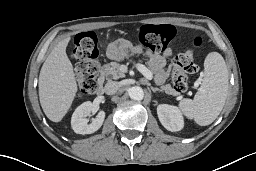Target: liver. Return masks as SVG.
Masks as SVG:
<instances>
[{
	"mask_svg": "<svg viewBox=\"0 0 256 171\" xmlns=\"http://www.w3.org/2000/svg\"><path fill=\"white\" fill-rule=\"evenodd\" d=\"M68 39L60 41L48 55L39 75L41 107L53 122H60L68 112L78 87L67 54Z\"/></svg>",
	"mask_w": 256,
	"mask_h": 171,
	"instance_id": "6515ba94",
	"label": "liver"
}]
</instances>
